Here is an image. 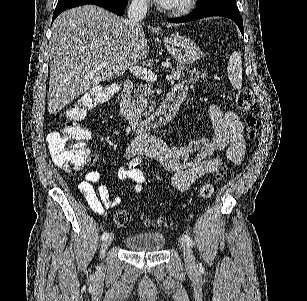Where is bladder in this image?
<instances>
[{
	"label": "bladder",
	"instance_id": "obj_1",
	"mask_svg": "<svg viewBox=\"0 0 307 301\" xmlns=\"http://www.w3.org/2000/svg\"><path fill=\"white\" fill-rule=\"evenodd\" d=\"M165 245V235L160 232L136 233L125 241L129 251H161Z\"/></svg>",
	"mask_w": 307,
	"mask_h": 301
}]
</instances>
